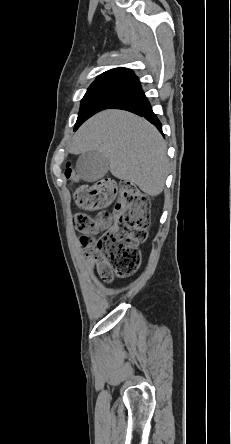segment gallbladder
<instances>
[{
    "instance_id": "bac80fb5",
    "label": "gallbladder",
    "mask_w": 231,
    "mask_h": 444,
    "mask_svg": "<svg viewBox=\"0 0 231 444\" xmlns=\"http://www.w3.org/2000/svg\"><path fill=\"white\" fill-rule=\"evenodd\" d=\"M76 169L83 180L94 182L106 175L109 161L98 151H88L80 155Z\"/></svg>"
}]
</instances>
